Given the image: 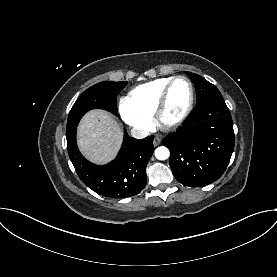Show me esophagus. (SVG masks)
Masks as SVG:
<instances>
[{"instance_id": "esophagus-1", "label": "esophagus", "mask_w": 277, "mask_h": 277, "mask_svg": "<svg viewBox=\"0 0 277 277\" xmlns=\"http://www.w3.org/2000/svg\"><path fill=\"white\" fill-rule=\"evenodd\" d=\"M161 143V138L156 136L153 140L154 146H158Z\"/></svg>"}]
</instances>
